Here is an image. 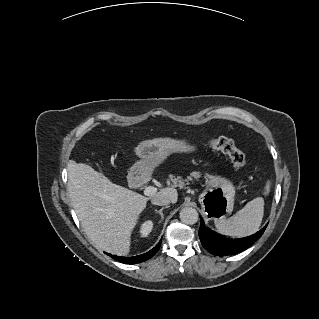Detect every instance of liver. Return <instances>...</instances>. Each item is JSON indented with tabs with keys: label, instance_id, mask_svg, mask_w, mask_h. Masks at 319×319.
Segmentation results:
<instances>
[{
	"label": "liver",
	"instance_id": "6515ba94",
	"mask_svg": "<svg viewBox=\"0 0 319 319\" xmlns=\"http://www.w3.org/2000/svg\"><path fill=\"white\" fill-rule=\"evenodd\" d=\"M67 189L87 237L103 251L125 255L129 233L136 224V214L145 207L146 198L111 184L83 164L72 168ZM156 196L168 197L171 202L177 198L173 188L163 189Z\"/></svg>",
	"mask_w": 319,
	"mask_h": 319
}]
</instances>
